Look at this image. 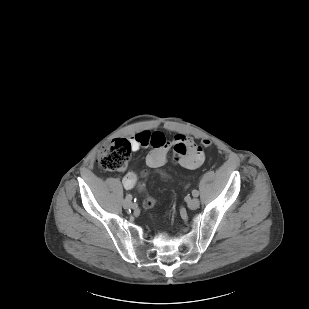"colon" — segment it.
I'll return each instance as SVG.
<instances>
[{
	"mask_svg": "<svg viewBox=\"0 0 309 309\" xmlns=\"http://www.w3.org/2000/svg\"><path fill=\"white\" fill-rule=\"evenodd\" d=\"M204 147L210 146L209 140H204ZM132 152L131 142L127 139H118L104 145L98 152L97 160L99 166L110 172H119L126 168ZM161 177L167 179L169 176L166 172L161 171ZM146 208L154 206L155 201L146 197L143 202Z\"/></svg>",
	"mask_w": 309,
	"mask_h": 309,
	"instance_id": "5ec220e1",
	"label": "colon"
}]
</instances>
